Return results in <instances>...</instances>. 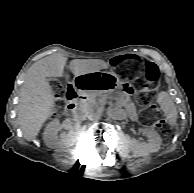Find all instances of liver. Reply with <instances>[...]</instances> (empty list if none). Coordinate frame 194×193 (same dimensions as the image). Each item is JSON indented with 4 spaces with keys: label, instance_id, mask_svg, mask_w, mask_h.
Listing matches in <instances>:
<instances>
[{
    "label": "liver",
    "instance_id": "1",
    "mask_svg": "<svg viewBox=\"0 0 194 193\" xmlns=\"http://www.w3.org/2000/svg\"><path fill=\"white\" fill-rule=\"evenodd\" d=\"M66 62L67 57L53 54L37 61L27 71L21 88L17 120L28 141L37 137L44 122L56 112L57 98L47 77H62ZM107 67L108 64L100 59H74L70 62L75 76Z\"/></svg>",
    "mask_w": 194,
    "mask_h": 193
}]
</instances>
